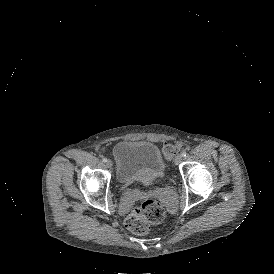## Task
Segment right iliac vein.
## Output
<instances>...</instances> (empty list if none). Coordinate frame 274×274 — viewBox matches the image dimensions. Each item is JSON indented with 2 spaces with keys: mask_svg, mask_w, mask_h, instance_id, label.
Instances as JSON below:
<instances>
[{
  "mask_svg": "<svg viewBox=\"0 0 274 274\" xmlns=\"http://www.w3.org/2000/svg\"><path fill=\"white\" fill-rule=\"evenodd\" d=\"M112 161H110V160H108L107 162H106V166L108 167V168H111L112 167Z\"/></svg>",
  "mask_w": 274,
  "mask_h": 274,
  "instance_id": "1",
  "label": "right iliac vein"
}]
</instances>
